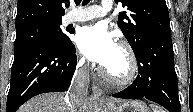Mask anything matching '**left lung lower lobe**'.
Instances as JSON below:
<instances>
[{
  "mask_svg": "<svg viewBox=\"0 0 193 112\" xmlns=\"http://www.w3.org/2000/svg\"><path fill=\"white\" fill-rule=\"evenodd\" d=\"M135 56L138 62L136 80L125 90L113 94V97L147 98L170 112H181L171 32L150 38Z\"/></svg>",
  "mask_w": 193,
  "mask_h": 112,
  "instance_id": "obj_1",
  "label": "left lung lower lobe"
}]
</instances>
